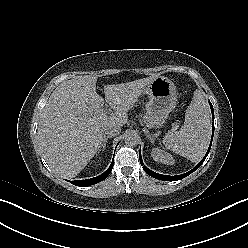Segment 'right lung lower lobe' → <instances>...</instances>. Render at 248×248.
I'll list each match as a JSON object with an SVG mask.
<instances>
[{
  "label": "right lung lower lobe",
  "instance_id": "obj_1",
  "mask_svg": "<svg viewBox=\"0 0 248 248\" xmlns=\"http://www.w3.org/2000/svg\"><path fill=\"white\" fill-rule=\"evenodd\" d=\"M113 163H114V159L111 163V165L109 166V168L101 175L91 178V179H86V180H79V181H71L72 184L76 185V186H80V187H86V186H90L93 184H96L98 182L103 181L104 179L107 178V176L110 174L112 168H113Z\"/></svg>",
  "mask_w": 248,
  "mask_h": 248
}]
</instances>
